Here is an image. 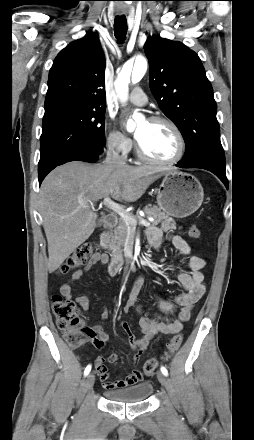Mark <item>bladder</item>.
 Segmentation results:
<instances>
[{
	"mask_svg": "<svg viewBox=\"0 0 254 440\" xmlns=\"http://www.w3.org/2000/svg\"><path fill=\"white\" fill-rule=\"evenodd\" d=\"M153 392V386L150 382L143 381L137 384L105 391V396L112 401L134 403L146 400Z\"/></svg>",
	"mask_w": 254,
	"mask_h": 440,
	"instance_id": "1",
	"label": "bladder"
}]
</instances>
